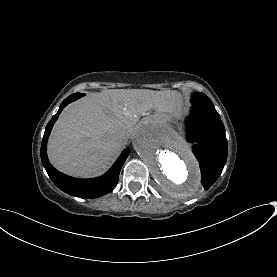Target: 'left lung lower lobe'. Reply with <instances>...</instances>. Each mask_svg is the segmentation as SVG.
I'll use <instances>...</instances> for the list:
<instances>
[{"label":"left lung lower lobe","instance_id":"1","mask_svg":"<svg viewBox=\"0 0 277 277\" xmlns=\"http://www.w3.org/2000/svg\"><path fill=\"white\" fill-rule=\"evenodd\" d=\"M189 142L199 161L201 183L207 190L220 176L227 159L225 128L216 109L192 106L188 118Z\"/></svg>","mask_w":277,"mask_h":277}]
</instances>
